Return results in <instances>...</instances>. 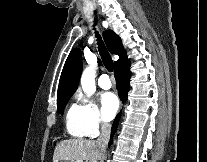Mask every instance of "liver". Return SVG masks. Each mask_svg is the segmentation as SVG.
Segmentation results:
<instances>
[{
  "label": "liver",
  "mask_w": 207,
  "mask_h": 162,
  "mask_svg": "<svg viewBox=\"0 0 207 162\" xmlns=\"http://www.w3.org/2000/svg\"><path fill=\"white\" fill-rule=\"evenodd\" d=\"M103 152L94 140L68 139L58 143L54 150L53 162L86 161L98 162L103 158Z\"/></svg>",
  "instance_id": "6515ba94"
}]
</instances>
